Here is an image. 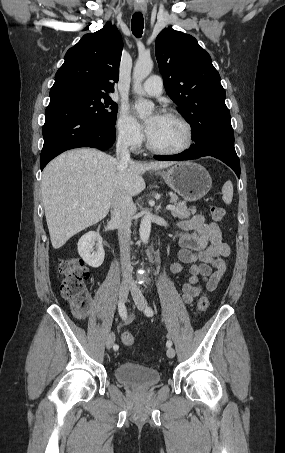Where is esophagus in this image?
<instances>
[{
    "label": "esophagus",
    "instance_id": "obj_1",
    "mask_svg": "<svg viewBox=\"0 0 285 453\" xmlns=\"http://www.w3.org/2000/svg\"><path fill=\"white\" fill-rule=\"evenodd\" d=\"M134 7H135L136 11L146 13L147 8H146V4L144 2H136Z\"/></svg>",
    "mask_w": 285,
    "mask_h": 453
}]
</instances>
